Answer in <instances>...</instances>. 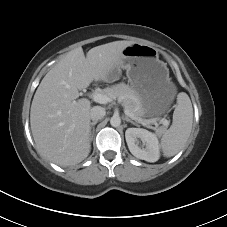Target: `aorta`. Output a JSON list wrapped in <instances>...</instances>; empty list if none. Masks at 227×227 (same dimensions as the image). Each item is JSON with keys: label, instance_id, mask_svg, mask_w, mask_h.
<instances>
[{"label": "aorta", "instance_id": "obj_1", "mask_svg": "<svg viewBox=\"0 0 227 227\" xmlns=\"http://www.w3.org/2000/svg\"><path fill=\"white\" fill-rule=\"evenodd\" d=\"M110 124H111V126H113V127H118V126H120V124H121V119H120V117H119V116H116V115L112 116L111 119H110Z\"/></svg>", "mask_w": 227, "mask_h": 227}]
</instances>
